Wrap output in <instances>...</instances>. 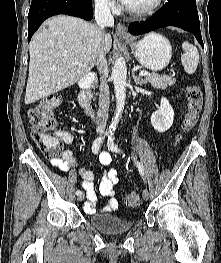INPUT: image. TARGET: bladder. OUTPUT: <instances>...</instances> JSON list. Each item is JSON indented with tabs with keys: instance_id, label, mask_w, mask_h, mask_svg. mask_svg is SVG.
Listing matches in <instances>:
<instances>
[{
	"instance_id": "bladder-1",
	"label": "bladder",
	"mask_w": 221,
	"mask_h": 263,
	"mask_svg": "<svg viewBox=\"0 0 221 263\" xmlns=\"http://www.w3.org/2000/svg\"><path fill=\"white\" fill-rule=\"evenodd\" d=\"M88 221L91 227L109 236L128 232L134 226L132 220H123L115 214L91 215Z\"/></svg>"
}]
</instances>
